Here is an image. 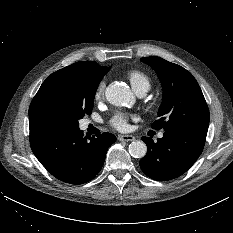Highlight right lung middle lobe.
<instances>
[{
  "label": "right lung middle lobe",
  "instance_id": "right-lung-middle-lobe-1",
  "mask_svg": "<svg viewBox=\"0 0 233 233\" xmlns=\"http://www.w3.org/2000/svg\"><path fill=\"white\" fill-rule=\"evenodd\" d=\"M102 78L84 71L61 69L54 72L33 98L29 118L38 125L78 128V121L92 112Z\"/></svg>",
  "mask_w": 233,
  "mask_h": 233
}]
</instances>
